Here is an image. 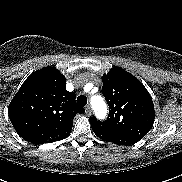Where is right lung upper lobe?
Segmentation results:
<instances>
[{
  "label": "right lung upper lobe",
  "mask_w": 182,
  "mask_h": 182,
  "mask_svg": "<svg viewBox=\"0 0 182 182\" xmlns=\"http://www.w3.org/2000/svg\"><path fill=\"white\" fill-rule=\"evenodd\" d=\"M83 112L75 103V93L66 90L65 76L51 66L32 73L8 108L18 135L35 144L68 137L75 115Z\"/></svg>",
  "instance_id": "obj_1"
}]
</instances>
